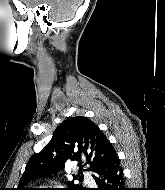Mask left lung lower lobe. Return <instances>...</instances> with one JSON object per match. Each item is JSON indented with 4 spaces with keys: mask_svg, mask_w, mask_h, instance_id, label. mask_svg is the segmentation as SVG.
<instances>
[{
    "mask_svg": "<svg viewBox=\"0 0 165 190\" xmlns=\"http://www.w3.org/2000/svg\"><path fill=\"white\" fill-rule=\"evenodd\" d=\"M93 178L99 186L96 190H126L123 172L116 153L95 170Z\"/></svg>",
    "mask_w": 165,
    "mask_h": 190,
    "instance_id": "obj_1",
    "label": "left lung lower lobe"
}]
</instances>
